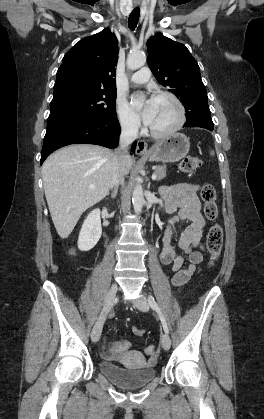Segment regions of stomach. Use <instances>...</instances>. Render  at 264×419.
<instances>
[{
    "label": "stomach",
    "instance_id": "1",
    "mask_svg": "<svg viewBox=\"0 0 264 419\" xmlns=\"http://www.w3.org/2000/svg\"><path fill=\"white\" fill-rule=\"evenodd\" d=\"M189 149V138L182 133H174L154 144L146 158L156 162H177L188 154Z\"/></svg>",
    "mask_w": 264,
    "mask_h": 419
}]
</instances>
